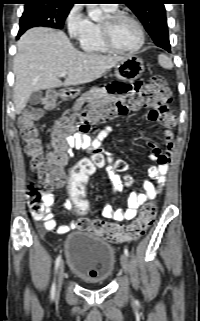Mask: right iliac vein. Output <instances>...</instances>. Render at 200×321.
Listing matches in <instances>:
<instances>
[{
    "mask_svg": "<svg viewBox=\"0 0 200 321\" xmlns=\"http://www.w3.org/2000/svg\"><path fill=\"white\" fill-rule=\"evenodd\" d=\"M64 279V264L63 262L60 264L59 271H58V276H57V287H56V296L59 295L62 283Z\"/></svg>",
    "mask_w": 200,
    "mask_h": 321,
    "instance_id": "1",
    "label": "right iliac vein"
}]
</instances>
